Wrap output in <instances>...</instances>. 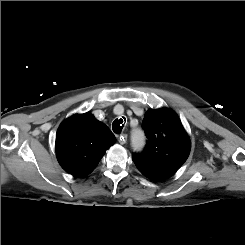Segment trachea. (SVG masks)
Returning a JSON list of instances; mask_svg holds the SVG:
<instances>
[{
    "label": "trachea",
    "mask_w": 245,
    "mask_h": 245,
    "mask_svg": "<svg viewBox=\"0 0 245 245\" xmlns=\"http://www.w3.org/2000/svg\"><path fill=\"white\" fill-rule=\"evenodd\" d=\"M125 121L126 119L124 117L114 120V122L112 123V129L116 134L121 133L124 127Z\"/></svg>",
    "instance_id": "trachea-1"
}]
</instances>
